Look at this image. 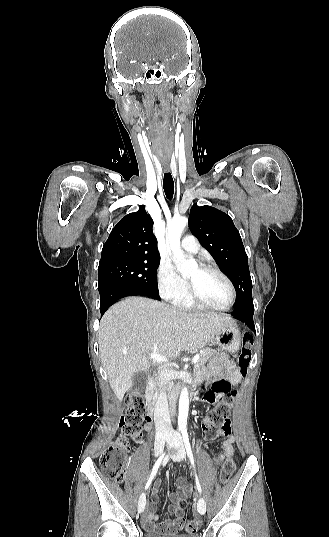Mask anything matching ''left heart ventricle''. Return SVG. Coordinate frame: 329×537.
Returning a JSON list of instances; mask_svg holds the SVG:
<instances>
[{"label":"left heart ventricle","mask_w":329,"mask_h":537,"mask_svg":"<svg viewBox=\"0 0 329 537\" xmlns=\"http://www.w3.org/2000/svg\"><path fill=\"white\" fill-rule=\"evenodd\" d=\"M195 293L206 303L224 307L230 301V290L226 282L216 273L194 265L186 274Z\"/></svg>","instance_id":"obj_1"}]
</instances>
